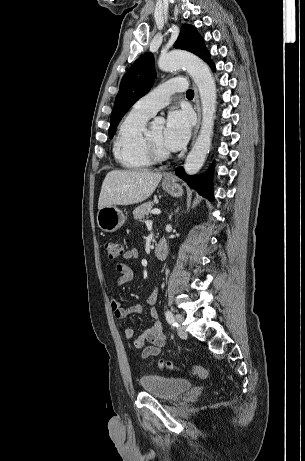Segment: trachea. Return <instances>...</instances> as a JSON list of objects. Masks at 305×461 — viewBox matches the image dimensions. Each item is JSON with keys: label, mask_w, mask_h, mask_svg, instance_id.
<instances>
[{"label": "trachea", "mask_w": 305, "mask_h": 461, "mask_svg": "<svg viewBox=\"0 0 305 461\" xmlns=\"http://www.w3.org/2000/svg\"><path fill=\"white\" fill-rule=\"evenodd\" d=\"M186 96H187L188 98H192V97H194V91H193V90H191V89H190V90H188V91L186 92Z\"/></svg>", "instance_id": "trachea-1"}]
</instances>
